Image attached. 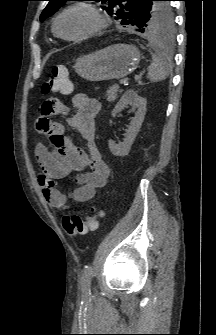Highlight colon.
Here are the masks:
<instances>
[{"instance_id": "colon-1", "label": "colon", "mask_w": 216, "mask_h": 335, "mask_svg": "<svg viewBox=\"0 0 216 335\" xmlns=\"http://www.w3.org/2000/svg\"><path fill=\"white\" fill-rule=\"evenodd\" d=\"M72 84L69 79L68 69L63 65L54 66L49 78L42 86V93L47 95L51 92L69 93ZM48 115V114H47ZM103 216L102 211L95 205L89 209V214L80 216L77 214L65 215L62 218V226L69 236H81L98 227L99 219Z\"/></svg>"}]
</instances>
